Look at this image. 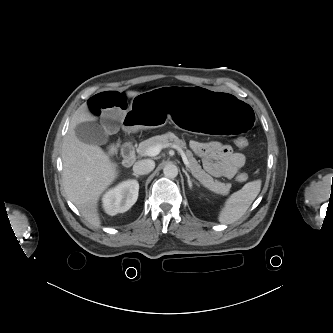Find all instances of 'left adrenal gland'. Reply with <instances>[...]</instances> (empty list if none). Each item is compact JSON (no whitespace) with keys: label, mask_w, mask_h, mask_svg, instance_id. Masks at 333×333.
<instances>
[{"label":"left adrenal gland","mask_w":333,"mask_h":333,"mask_svg":"<svg viewBox=\"0 0 333 333\" xmlns=\"http://www.w3.org/2000/svg\"><path fill=\"white\" fill-rule=\"evenodd\" d=\"M184 173L187 177V182H188V185H189V188L192 189L193 188V183L196 185V186H199V184L195 181V180H191L190 179V176L189 174L187 173V171L184 170Z\"/></svg>","instance_id":"left-adrenal-gland-1"}]
</instances>
